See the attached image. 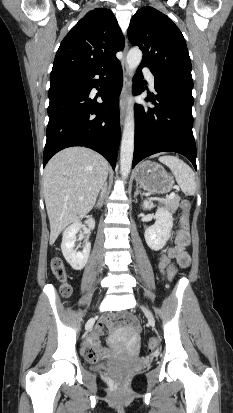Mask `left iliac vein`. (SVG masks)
<instances>
[{
    "instance_id": "left-iliac-vein-1",
    "label": "left iliac vein",
    "mask_w": 233,
    "mask_h": 413,
    "mask_svg": "<svg viewBox=\"0 0 233 413\" xmlns=\"http://www.w3.org/2000/svg\"><path fill=\"white\" fill-rule=\"evenodd\" d=\"M141 309H142L143 312L145 313V315H146V317L148 318V320H149L150 322H154V317H153L151 311L148 310V309H147L146 307H144V306H141Z\"/></svg>"
}]
</instances>
